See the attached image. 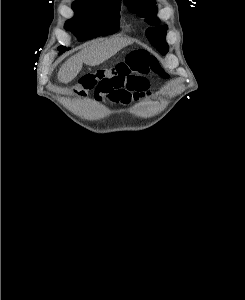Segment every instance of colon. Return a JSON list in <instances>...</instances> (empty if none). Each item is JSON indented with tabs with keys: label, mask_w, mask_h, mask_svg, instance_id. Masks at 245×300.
<instances>
[{
	"label": "colon",
	"mask_w": 245,
	"mask_h": 300,
	"mask_svg": "<svg viewBox=\"0 0 245 300\" xmlns=\"http://www.w3.org/2000/svg\"><path fill=\"white\" fill-rule=\"evenodd\" d=\"M155 73L162 78H167V72L161 67L159 60L146 51H132L125 60L109 70L87 73L80 77L78 82L79 90L92 89L105 75H116L123 79L130 80L141 74Z\"/></svg>",
	"instance_id": "obj_1"
}]
</instances>
